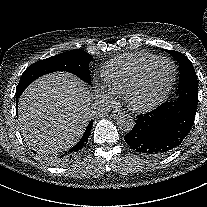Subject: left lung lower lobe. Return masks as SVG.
Instances as JSON below:
<instances>
[{"instance_id":"0a47b994","label":"left lung lower lobe","mask_w":207,"mask_h":207,"mask_svg":"<svg viewBox=\"0 0 207 207\" xmlns=\"http://www.w3.org/2000/svg\"><path fill=\"white\" fill-rule=\"evenodd\" d=\"M196 108L179 101L163 103L151 112L139 115L134 128L124 139L140 154L166 155L188 135Z\"/></svg>"}]
</instances>
